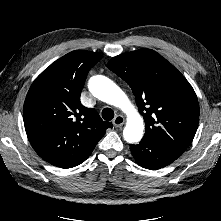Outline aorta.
<instances>
[{"label": "aorta", "instance_id": "762f6f07", "mask_svg": "<svg viewBox=\"0 0 221 221\" xmlns=\"http://www.w3.org/2000/svg\"><path fill=\"white\" fill-rule=\"evenodd\" d=\"M89 91L97 99L115 106L127 116L123 137L128 143H137L143 137V118L131 103L127 95L112 80L103 75H95L89 79Z\"/></svg>", "mask_w": 221, "mask_h": 221}]
</instances>
